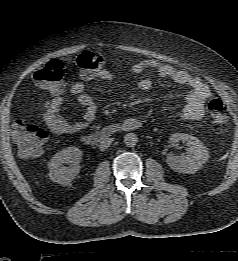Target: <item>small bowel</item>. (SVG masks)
<instances>
[{
    "label": "small bowel",
    "instance_id": "c3829d8e",
    "mask_svg": "<svg viewBox=\"0 0 238 261\" xmlns=\"http://www.w3.org/2000/svg\"><path fill=\"white\" fill-rule=\"evenodd\" d=\"M147 69H154L162 78H169L173 82L186 86L190 89L186 98L179 118L182 121H197L204 115V106L211 96V92L207 84L200 78L192 76L185 70L178 69L172 65L160 62L155 59L141 60L132 66L133 73H141ZM93 79L112 80L113 73L106 68H102L95 73H84L82 81L74 83L70 92L76 97V101L84 108V112L80 120L69 121L63 116V96L62 92L53 93V97L48 100L43 108L42 117L49 130L56 134H74L86 129L95 119L97 106L93 99L85 93V82ZM153 81L149 77L141 79L138 87L143 91H148L152 88ZM139 127L140 122L135 119L127 120Z\"/></svg>",
    "mask_w": 238,
    "mask_h": 261
}]
</instances>
